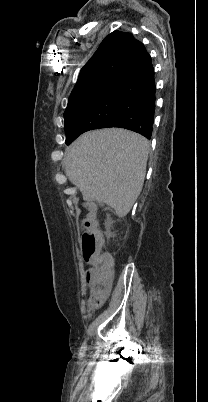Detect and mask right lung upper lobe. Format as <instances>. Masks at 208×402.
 <instances>
[{"label":"right lung upper lobe","mask_w":208,"mask_h":402,"mask_svg":"<svg viewBox=\"0 0 208 402\" xmlns=\"http://www.w3.org/2000/svg\"><path fill=\"white\" fill-rule=\"evenodd\" d=\"M142 47L130 33L114 31L109 34L81 69L70 97L102 83H112Z\"/></svg>","instance_id":"cb5924a9"}]
</instances>
